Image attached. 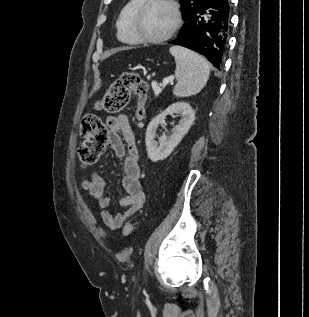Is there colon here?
I'll use <instances>...</instances> for the list:
<instances>
[{"label":"colon","mask_w":309,"mask_h":317,"mask_svg":"<svg viewBox=\"0 0 309 317\" xmlns=\"http://www.w3.org/2000/svg\"><path fill=\"white\" fill-rule=\"evenodd\" d=\"M147 83L135 72H125L114 81L103 98L98 102V107L108 113L121 111L127 106L130 96H137L136 116L139 120L145 115L147 100ZM83 142L78 149L81 166L94 165L103 154L107 142V128L96 115H86L82 121ZM133 231L131 223L124 226V235L129 236Z\"/></svg>","instance_id":"colon-1"}]
</instances>
